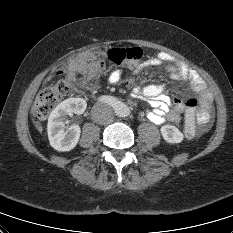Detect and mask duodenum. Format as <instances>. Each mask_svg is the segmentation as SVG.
<instances>
[{"label": "duodenum", "instance_id": "1", "mask_svg": "<svg viewBox=\"0 0 233 233\" xmlns=\"http://www.w3.org/2000/svg\"><path fill=\"white\" fill-rule=\"evenodd\" d=\"M117 102H118V105L120 104V102L117 100Z\"/></svg>", "mask_w": 233, "mask_h": 233}]
</instances>
